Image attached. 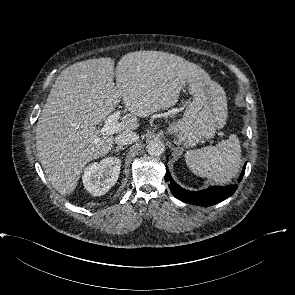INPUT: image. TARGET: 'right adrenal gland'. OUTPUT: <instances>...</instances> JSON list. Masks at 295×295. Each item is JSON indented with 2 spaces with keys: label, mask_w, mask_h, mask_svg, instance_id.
Instances as JSON below:
<instances>
[{
  "label": "right adrenal gland",
  "mask_w": 295,
  "mask_h": 295,
  "mask_svg": "<svg viewBox=\"0 0 295 295\" xmlns=\"http://www.w3.org/2000/svg\"><path fill=\"white\" fill-rule=\"evenodd\" d=\"M124 149H125V147H123V146H117V147L113 148V149L111 150V152H118V151H120V150H124Z\"/></svg>",
  "instance_id": "1"
}]
</instances>
